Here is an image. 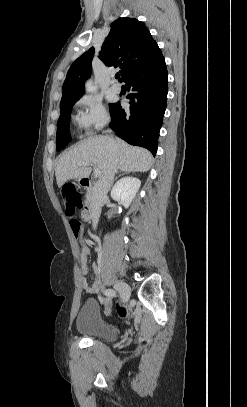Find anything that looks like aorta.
<instances>
[{"mask_svg": "<svg viewBox=\"0 0 247 407\" xmlns=\"http://www.w3.org/2000/svg\"><path fill=\"white\" fill-rule=\"evenodd\" d=\"M86 90H87V92H93V91H95V86L93 85V83H92L91 81H89V82L86 84Z\"/></svg>", "mask_w": 247, "mask_h": 407, "instance_id": "obj_1", "label": "aorta"}]
</instances>
